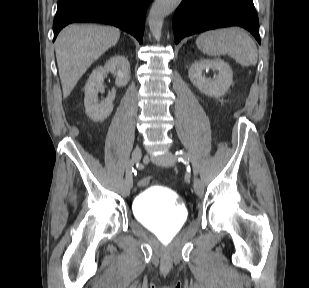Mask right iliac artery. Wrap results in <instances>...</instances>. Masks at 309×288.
Here are the masks:
<instances>
[{
	"label": "right iliac artery",
	"mask_w": 309,
	"mask_h": 288,
	"mask_svg": "<svg viewBox=\"0 0 309 288\" xmlns=\"http://www.w3.org/2000/svg\"><path fill=\"white\" fill-rule=\"evenodd\" d=\"M127 169H126V184H132V175L131 172L133 171L134 168H137V170H142L143 166L139 164V160H132L127 164ZM134 167V168H133ZM145 171V170H144Z\"/></svg>",
	"instance_id": "obj_1"
}]
</instances>
